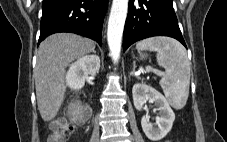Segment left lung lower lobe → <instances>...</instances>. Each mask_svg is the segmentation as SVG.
Instances as JSON below:
<instances>
[{"instance_id":"obj_1","label":"left lung lower lobe","mask_w":227,"mask_h":142,"mask_svg":"<svg viewBox=\"0 0 227 142\" xmlns=\"http://www.w3.org/2000/svg\"><path fill=\"white\" fill-rule=\"evenodd\" d=\"M152 36L173 37L186 47L172 0H129L123 51L133 43Z\"/></svg>"}]
</instances>
